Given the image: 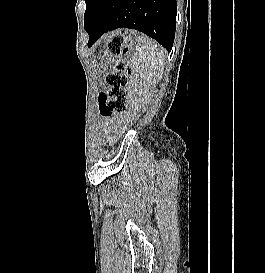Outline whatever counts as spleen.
Masks as SVG:
<instances>
[{
	"instance_id": "spleen-1",
	"label": "spleen",
	"mask_w": 265,
	"mask_h": 273,
	"mask_svg": "<svg viewBox=\"0 0 265 273\" xmlns=\"http://www.w3.org/2000/svg\"><path fill=\"white\" fill-rule=\"evenodd\" d=\"M140 76L150 84H156L162 77L166 61L165 51L154 40L139 37L132 59Z\"/></svg>"
}]
</instances>
